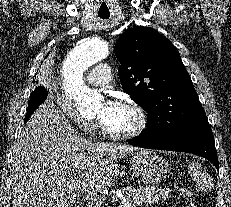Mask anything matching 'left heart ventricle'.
<instances>
[{
    "instance_id": "1",
    "label": "left heart ventricle",
    "mask_w": 231,
    "mask_h": 207,
    "mask_svg": "<svg viewBox=\"0 0 231 207\" xmlns=\"http://www.w3.org/2000/svg\"><path fill=\"white\" fill-rule=\"evenodd\" d=\"M104 104L100 105L98 113L102 112ZM113 132H128L137 125L135 112L125 104L116 103L109 117L102 121Z\"/></svg>"
}]
</instances>
